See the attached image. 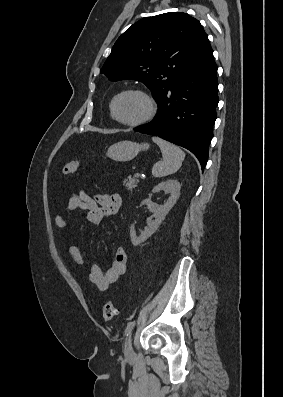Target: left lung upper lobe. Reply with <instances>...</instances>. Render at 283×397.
<instances>
[{"label": "left lung upper lobe", "mask_w": 283, "mask_h": 397, "mask_svg": "<svg viewBox=\"0 0 283 397\" xmlns=\"http://www.w3.org/2000/svg\"><path fill=\"white\" fill-rule=\"evenodd\" d=\"M210 48L200 22L189 14L145 17L117 39L100 73L113 81H141L158 102L180 73Z\"/></svg>", "instance_id": "left-lung-upper-lobe-1"}]
</instances>
